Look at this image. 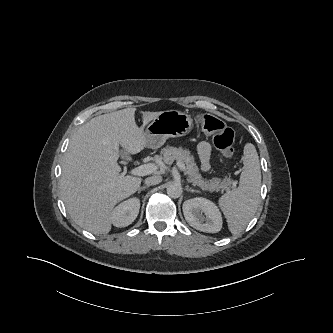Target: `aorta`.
<instances>
[{"label":"aorta","instance_id":"1","mask_svg":"<svg viewBox=\"0 0 333 333\" xmlns=\"http://www.w3.org/2000/svg\"><path fill=\"white\" fill-rule=\"evenodd\" d=\"M182 193V188L179 184H170L167 187V194L171 198H178Z\"/></svg>","mask_w":333,"mask_h":333}]
</instances>
